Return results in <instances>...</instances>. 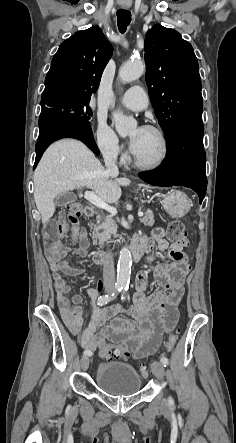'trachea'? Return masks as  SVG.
Masks as SVG:
<instances>
[{
    "instance_id": "3493384b",
    "label": "trachea",
    "mask_w": 236,
    "mask_h": 443,
    "mask_svg": "<svg viewBox=\"0 0 236 443\" xmlns=\"http://www.w3.org/2000/svg\"><path fill=\"white\" fill-rule=\"evenodd\" d=\"M131 22V13L128 10L117 11V25L120 33H124Z\"/></svg>"
}]
</instances>
